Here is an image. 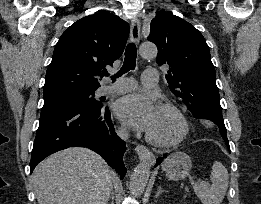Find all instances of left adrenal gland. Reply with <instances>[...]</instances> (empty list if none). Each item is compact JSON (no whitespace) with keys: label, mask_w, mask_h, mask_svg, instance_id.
Listing matches in <instances>:
<instances>
[{"label":"left adrenal gland","mask_w":261,"mask_h":204,"mask_svg":"<svg viewBox=\"0 0 261 204\" xmlns=\"http://www.w3.org/2000/svg\"><path fill=\"white\" fill-rule=\"evenodd\" d=\"M163 192H167L166 190H164V189H162L160 186L158 187V191H157V193H156V196L155 197H158V196H160L161 195V193H163Z\"/></svg>","instance_id":"obj_1"}]
</instances>
